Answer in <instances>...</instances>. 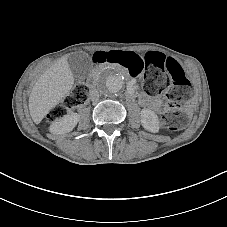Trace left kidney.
Masks as SVG:
<instances>
[{
  "instance_id": "5707ae66",
  "label": "left kidney",
  "mask_w": 227,
  "mask_h": 227,
  "mask_svg": "<svg viewBox=\"0 0 227 227\" xmlns=\"http://www.w3.org/2000/svg\"><path fill=\"white\" fill-rule=\"evenodd\" d=\"M141 123L142 126L150 132L157 133L159 131V119L152 110H141Z\"/></svg>"
}]
</instances>
